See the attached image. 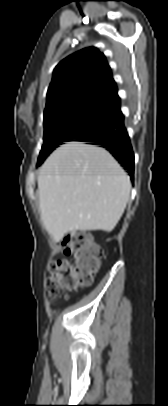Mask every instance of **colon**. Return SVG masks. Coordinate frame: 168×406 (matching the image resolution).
I'll use <instances>...</instances> for the list:
<instances>
[{"instance_id": "obj_1", "label": "colon", "mask_w": 168, "mask_h": 406, "mask_svg": "<svg viewBox=\"0 0 168 406\" xmlns=\"http://www.w3.org/2000/svg\"><path fill=\"white\" fill-rule=\"evenodd\" d=\"M64 254L71 260L58 259L51 264L46 289L51 297L89 285L97 272L102 251L84 232H68L61 239Z\"/></svg>"}]
</instances>
